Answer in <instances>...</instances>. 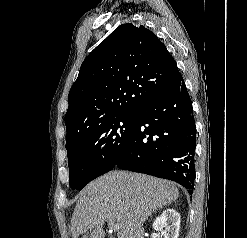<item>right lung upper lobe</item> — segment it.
Instances as JSON below:
<instances>
[{
	"label": "right lung upper lobe",
	"mask_w": 247,
	"mask_h": 238,
	"mask_svg": "<svg viewBox=\"0 0 247 238\" xmlns=\"http://www.w3.org/2000/svg\"><path fill=\"white\" fill-rule=\"evenodd\" d=\"M179 74L174 58L153 32L130 23L119 26L87 56L71 87L66 146L99 123L137 113Z\"/></svg>",
	"instance_id": "1"
}]
</instances>
